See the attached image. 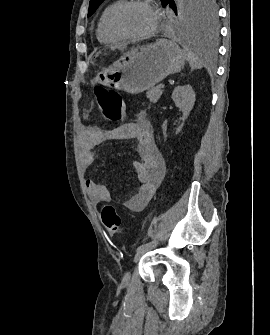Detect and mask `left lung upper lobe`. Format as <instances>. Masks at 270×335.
<instances>
[{"mask_svg":"<svg viewBox=\"0 0 270 335\" xmlns=\"http://www.w3.org/2000/svg\"><path fill=\"white\" fill-rule=\"evenodd\" d=\"M104 0H90L88 17L91 16ZM162 5H170L178 14L181 23L188 29L198 32L216 31V7L214 0H181L179 9L173 0H161Z\"/></svg>","mask_w":270,"mask_h":335,"instance_id":"left-lung-upper-lobe-1","label":"left lung upper lobe"}]
</instances>
